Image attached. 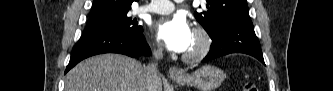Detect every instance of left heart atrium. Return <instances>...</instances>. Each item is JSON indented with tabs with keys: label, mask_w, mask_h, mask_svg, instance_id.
Returning a JSON list of instances; mask_svg holds the SVG:
<instances>
[{
	"label": "left heart atrium",
	"mask_w": 333,
	"mask_h": 91,
	"mask_svg": "<svg viewBox=\"0 0 333 91\" xmlns=\"http://www.w3.org/2000/svg\"><path fill=\"white\" fill-rule=\"evenodd\" d=\"M154 31L160 42L178 53L187 51L193 37V31L183 15L160 20L155 24Z\"/></svg>",
	"instance_id": "left-heart-atrium-1"
}]
</instances>
